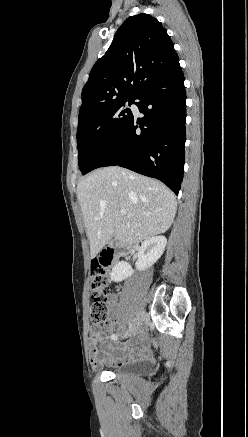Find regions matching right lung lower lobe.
<instances>
[{
	"label": "right lung lower lobe",
	"mask_w": 248,
	"mask_h": 437,
	"mask_svg": "<svg viewBox=\"0 0 248 437\" xmlns=\"http://www.w3.org/2000/svg\"><path fill=\"white\" fill-rule=\"evenodd\" d=\"M134 98L139 100L135 104L144 117H133L91 170L118 165L159 179L177 195L183 179L186 140V93L178 56Z\"/></svg>",
	"instance_id": "right-lung-lower-lobe-1"
}]
</instances>
